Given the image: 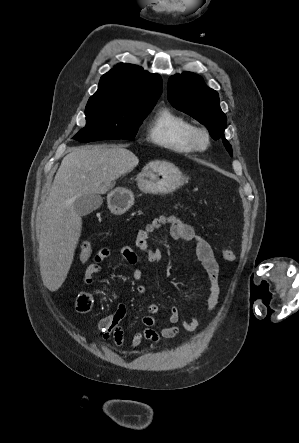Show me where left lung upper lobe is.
Segmentation results:
<instances>
[{
    "label": "left lung upper lobe",
    "mask_w": 299,
    "mask_h": 443,
    "mask_svg": "<svg viewBox=\"0 0 299 443\" xmlns=\"http://www.w3.org/2000/svg\"><path fill=\"white\" fill-rule=\"evenodd\" d=\"M168 100L173 107L205 125L214 140L222 138L232 156L231 145L224 136L226 116L220 108L218 93L207 87L200 76L191 72L171 76Z\"/></svg>",
    "instance_id": "1"
}]
</instances>
